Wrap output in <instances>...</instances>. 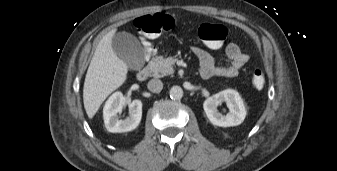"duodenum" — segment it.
<instances>
[{
  "label": "duodenum",
  "mask_w": 337,
  "mask_h": 171,
  "mask_svg": "<svg viewBox=\"0 0 337 171\" xmlns=\"http://www.w3.org/2000/svg\"><path fill=\"white\" fill-rule=\"evenodd\" d=\"M150 75L149 67H144L137 72V79L140 81H145Z\"/></svg>",
  "instance_id": "duodenum-1"
}]
</instances>
